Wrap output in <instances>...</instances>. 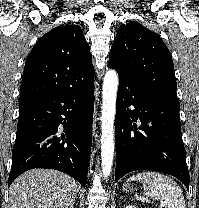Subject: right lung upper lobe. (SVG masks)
<instances>
[{"instance_id": "cb5924a9", "label": "right lung upper lobe", "mask_w": 199, "mask_h": 208, "mask_svg": "<svg viewBox=\"0 0 199 208\" xmlns=\"http://www.w3.org/2000/svg\"><path fill=\"white\" fill-rule=\"evenodd\" d=\"M91 58L78 25L54 28L38 40L26 59L20 104L85 85L94 78Z\"/></svg>"}]
</instances>
